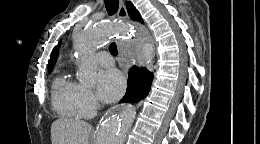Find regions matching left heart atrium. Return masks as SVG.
<instances>
[{"mask_svg":"<svg viewBox=\"0 0 260 144\" xmlns=\"http://www.w3.org/2000/svg\"><path fill=\"white\" fill-rule=\"evenodd\" d=\"M123 74L116 69L102 71L98 75V94L105 102L117 100L125 90Z\"/></svg>","mask_w":260,"mask_h":144,"instance_id":"obj_1","label":"left heart atrium"}]
</instances>
